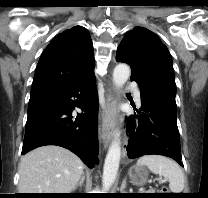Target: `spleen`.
<instances>
[{
    "label": "spleen",
    "instance_id": "spleen-1",
    "mask_svg": "<svg viewBox=\"0 0 208 198\" xmlns=\"http://www.w3.org/2000/svg\"><path fill=\"white\" fill-rule=\"evenodd\" d=\"M137 165L146 166L152 173L168 179L172 193L183 191L184 173L173 160L160 155H145L138 159Z\"/></svg>",
    "mask_w": 208,
    "mask_h": 198
}]
</instances>
